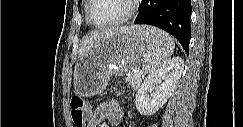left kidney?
I'll list each match as a JSON object with an SVG mask.
<instances>
[{
    "instance_id": "left-kidney-1",
    "label": "left kidney",
    "mask_w": 243,
    "mask_h": 127,
    "mask_svg": "<svg viewBox=\"0 0 243 127\" xmlns=\"http://www.w3.org/2000/svg\"><path fill=\"white\" fill-rule=\"evenodd\" d=\"M183 66V60L174 57L144 80L135 99L136 108L141 115H153L167 102L180 79Z\"/></svg>"
}]
</instances>
